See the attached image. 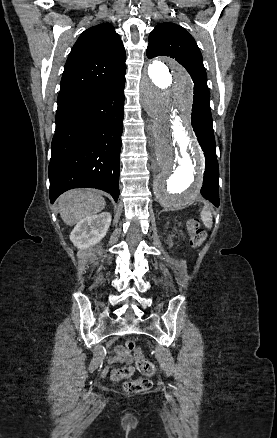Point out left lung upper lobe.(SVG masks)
Segmentation results:
<instances>
[{
  "label": "left lung upper lobe",
  "instance_id": "obj_1",
  "mask_svg": "<svg viewBox=\"0 0 277 438\" xmlns=\"http://www.w3.org/2000/svg\"><path fill=\"white\" fill-rule=\"evenodd\" d=\"M149 59L165 55L175 58L194 82L193 108L210 112V93L201 52L193 37L174 23H160L150 33L147 48Z\"/></svg>",
  "mask_w": 277,
  "mask_h": 438
}]
</instances>
